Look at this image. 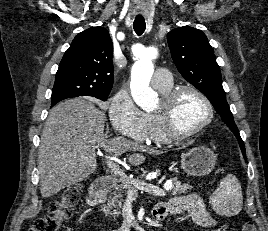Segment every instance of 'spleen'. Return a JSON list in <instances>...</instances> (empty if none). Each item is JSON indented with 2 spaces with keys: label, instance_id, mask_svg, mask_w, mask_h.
<instances>
[{
  "label": "spleen",
  "instance_id": "spleen-1",
  "mask_svg": "<svg viewBox=\"0 0 268 231\" xmlns=\"http://www.w3.org/2000/svg\"><path fill=\"white\" fill-rule=\"evenodd\" d=\"M214 211L221 216H234L240 213L243 205L241 184L233 174H228L210 196Z\"/></svg>",
  "mask_w": 268,
  "mask_h": 231
}]
</instances>
